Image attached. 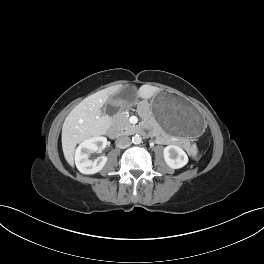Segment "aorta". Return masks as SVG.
<instances>
[{
	"mask_svg": "<svg viewBox=\"0 0 264 264\" xmlns=\"http://www.w3.org/2000/svg\"><path fill=\"white\" fill-rule=\"evenodd\" d=\"M132 142L134 144H140L142 142V138L140 135H135L132 137Z\"/></svg>",
	"mask_w": 264,
	"mask_h": 264,
	"instance_id": "aorta-1",
	"label": "aorta"
}]
</instances>
